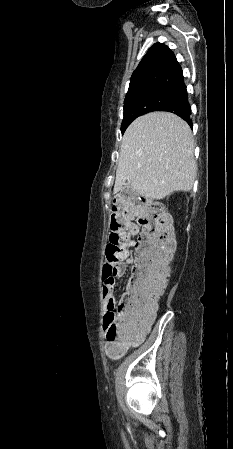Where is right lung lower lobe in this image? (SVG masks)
Returning a JSON list of instances; mask_svg holds the SVG:
<instances>
[{
  "mask_svg": "<svg viewBox=\"0 0 233 449\" xmlns=\"http://www.w3.org/2000/svg\"><path fill=\"white\" fill-rule=\"evenodd\" d=\"M183 91L184 97L181 100L165 105L160 109V111L172 112L184 119L190 126H192V121L190 119L191 108L187 98L186 87L183 89Z\"/></svg>",
  "mask_w": 233,
  "mask_h": 449,
  "instance_id": "98d812e1",
  "label": "right lung lower lobe"
}]
</instances>
